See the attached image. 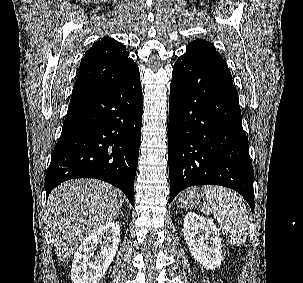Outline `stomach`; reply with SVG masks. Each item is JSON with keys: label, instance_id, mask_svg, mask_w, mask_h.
I'll use <instances>...</instances> for the list:
<instances>
[{"label": "stomach", "instance_id": "1", "mask_svg": "<svg viewBox=\"0 0 303 283\" xmlns=\"http://www.w3.org/2000/svg\"><path fill=\"white\" fill-rule=\"evenodd\" d=\"M203 192L199 191L196 188H192L187 190L184 194H182L179 198V206L180 208H193L201 203L203 199Z\"/></svg>", "mask_w": 303, "mask_h": 283}]
</instances>
